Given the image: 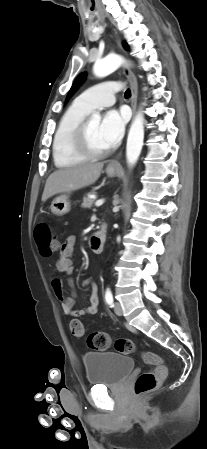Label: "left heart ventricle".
I'll list each match as a JSON object with an SVG mask.
<instances>
[{"label":"left heart ventricle","instance_id":"b2bd125f","mask_svg":"<svg viewBox=\"0 0 207 449\" xmlns=\"http://www.w3.org/2000/svg\"><path fill=\"white\" fill-rule=\"evenodd\" d=\"M100 123L98 121H88L87 134L91 147L95 150L107 149V145L104 143L100 136L99 131Z\"/></svg>","mask_w":207,"mask_h":449}]
</instances>
